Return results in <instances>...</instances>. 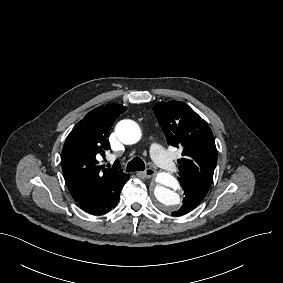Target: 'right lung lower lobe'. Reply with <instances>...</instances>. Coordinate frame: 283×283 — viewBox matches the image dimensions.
Wrapping results in <instances>:
<instances>
[{
  "label": "right lung lower lobe",
  "mask_w": 283,
  "mask_h": 283,
  "mask_svg": "<svg viewBox=\"0 0 283 283\" xmlns=\"http://www.w3.org/2000/svg\"><path fill=\"white\" fill-rule=\"evenodd\" d=\"M129 175L125 174L99 191L83 192L73 197L77 205L92 215H103L113 209L120 198V192Z\"/></svg>",
  "instance_id": "obj_1"
}]
</instances>
